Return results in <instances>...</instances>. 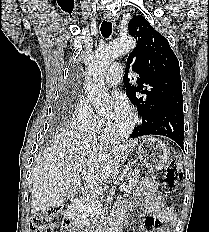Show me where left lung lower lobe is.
<instances>
[{"instance_id":"left-lung-lower-lobe-1","label":"left lung lower lobe","mask_w":209,"mask_h":232,"mask_svg":"<svg viewBox=\"0 0 209 232\" xmlns=\"http://www.w3.org/2000/svg\"><path fill=\"white\" fill-rule=\"evenodd\" d=\"M161 135L174 140L183 150L184 116L183 106H173L155 113L142 125L134 128L130 137Z\"/></svg>"}]
</instances>
